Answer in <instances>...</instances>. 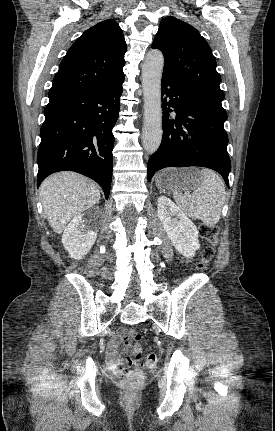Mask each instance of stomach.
<instances>
[{
  "instance_id": "stomach-1",
  "label": "stomach",
  "mask_w": 275,
  "mask_h": 431,
  "mask_svg": "<svg viewBox=\"0 0 275 431\" xmlns=\"http://www.w3.org/2000/svg\"><path fill=\"white\" fill-rule=\"evenodd\" d=\"M156 186L162 192H189L196 189L202 182L199 171L195 168H169L156 176Z\"/></svg>"
}]
</instances>
